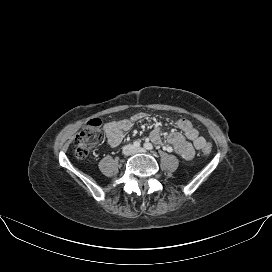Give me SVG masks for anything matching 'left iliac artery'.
I'll list each match as a JSON object with an SVG mask.
<instances>
[{"label":"left iliac artery","mask_w":272,"mask_h":272,"mask_svg":"<svg viewBox=\"0 0 272 272\" xmlns=\"http://www.w3.org/2000/svg\"><path fill=\"white\" fill-rule=\"evenodd\" d=\"M144 148L147 150H152L153 149V145L151 143H145L144 144Z\"/></svg>","instance_id":"44dca946"}]
</instances>
